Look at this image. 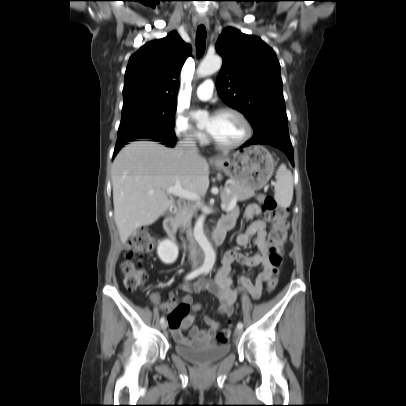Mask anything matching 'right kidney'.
<instances>
[{
  "instance_id": "1",
  "label": "right kidney",
  "mask_w": 406,
  "mask_h": 406,
  "mask_svg": "<svg viewBox=\"0 0 406 406\" xmlns=\"http://www.w3.org/2000/svg\"><path fill=\"white\" fill-rule=\"evenodd\" d=\"M178 253V246L173 240L165 239L157 246V255L165 264L174 263L178 257Z\"/></svg>"
}]
</instances>
